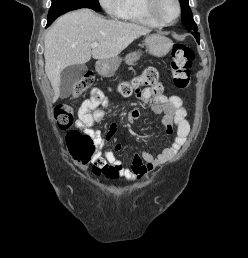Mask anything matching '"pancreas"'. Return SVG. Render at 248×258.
Returning a JSON list of instances; mask_svg holds the SVG:
<instances>
[{
    "instance_id": "obj_1",
    "label": "pancreas",
    "mask_w": 248,
    "mask_h": 258,
    "mask_svg": "<svg viewBox=\"0 0 248 258\" xmlns=\"http://www.w3.org/2000/svg\"><path fill=\"white\" fill-rule=\"evenodd\" d=\"M140 52H132V53H129L125 56V63L127 65H135L136 61H138L140 59Z\"/></svg>"
}]
</instances>
